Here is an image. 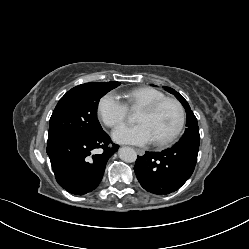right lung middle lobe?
<instances>
[{
    "instance_id": "right-lung-middle-lobe-1",
    "label": "right lung middle lobe",
    "mask_w": 249,
    "mask_h": 249,
    "mask_svg": "<svg viewBox=\"0 0 249 249\" xmlns=\"http://www.w3.org/2000/svg\"><path fill=\"white\" fill-rule=\"evenodd\" d=\"M119 82H91L69 90L55 107L49 124L48 145L77 136H95L103 129L97 119L101 97Z\"/></svg>"
}]
</instances>
